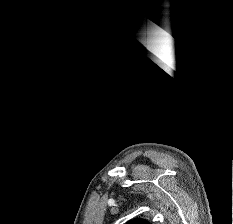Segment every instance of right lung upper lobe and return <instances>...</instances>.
<instances>
[{
  "mask_svg": "<svg viewBox=\"0 0 233 224\" xmlns=\"http://www.w3.org/2000/svg\"><path fill=\"white\" fill-rule=\"evenodd\" d=\"M126 224H150V223H148L144 219H134V220L127 222Z\"/></svg>",
  "mask_w": 233,
  "mask_h": 224,
  "instance_id": "right-lung-upper-lobe-1",
  "label": "right lung upper lobe"
}]
</instances>
